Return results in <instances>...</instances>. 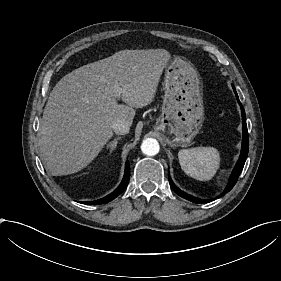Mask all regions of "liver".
<instances>
[{
  "label": "liver",
  "instance_id": "1",
  "mask_svg": "<svg viewBox=\"0 0 281 281\" xmlns=\"http://www.w3.org/2000/svg\"><path fill=\"white\" fill-rule=\"evenodd\" d=\"M169 56L164 48L123 49L62 77L47 100L38 143L48 172L79 171L111 137L114 122L132 124L134 108L152 101ZM117 83L128 105L115 101Z\"/></svg>",
  "mask_w": 281,
  "mask_h": 281
}]
</instances>
